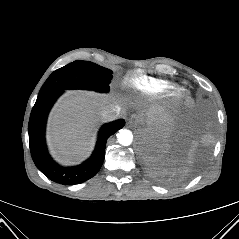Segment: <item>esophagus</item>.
<instances>
[{"label":"esophagus","mask_w":239,"mask_h":239,"mask_svg":"<svg viewBox=\"0 0 239 239\" xmlns=\"http://www.w3.org/2000/svg\"><path fill=\"white\" fill-rule=\"evenodd\" d=\"M140 121H141V118H140V116L137 115V114H133V115H131V117L129 118V123H130L131 125H136V124H138Z\"/></svg>","instance_id":"1"}]
</instances>
